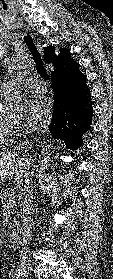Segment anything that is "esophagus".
Listing matches in <instances>:
<instances>
[{"instance_id":"esophagus-1","label":"esophagus","mask_w":113,"mask_h":279,"mask_svg":"<svg viewBox=\"0 0 113 279\" xmlns=\"http://www.w3.org/2000/svg\"><path fill=\"white\" fill-rule=\"evenodd\" d=\"M35 41L37 43V46L40 47V43H39L38 39L35 38Z\"/></svg>"}]
</instances>
